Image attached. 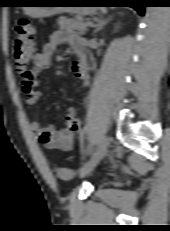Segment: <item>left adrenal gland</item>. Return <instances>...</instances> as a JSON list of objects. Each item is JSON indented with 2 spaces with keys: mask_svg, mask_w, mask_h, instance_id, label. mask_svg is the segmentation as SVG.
Returning <instances> with one entry per match:
<instances>
[{
  "mask_svg": "<svg viewBox=\"0 0 170 231\" xmlns=\"http://www.w3.org/2000/svg\"><path fill=\"white\" fill-rule=\"evenodd\" d=\"M110 20L111 18L98 20L97 24L95 25L94 34L100 31L104 27V25H106Z\"/></svg>",
  "mask_w": 170,
  "mask_h": 231,
  "instance_id": "a2214340",
  "label": "left adrenal gland"
}]
</instances>
